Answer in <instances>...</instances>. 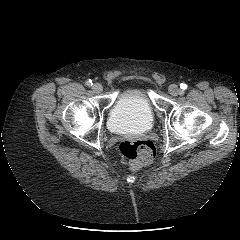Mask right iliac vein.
I'll list each match as a JSON object with an SVG mask.
<instances>
[{"instance_id": "right-iliac-vein-1", "label": "right iliac vein", "mask_w": 240, "mask_h": 240, "mask_svg": "<svg viewBox=\"0 0 240 240\" xmlns=\"http://www.w3.org/2000/svg\"><path fill=\"white\" fill-rule=\"evenodd\" d=\"M92 90H93L94 93L99 94V93H101V92L103 91V87H102L101 84L95 83V84L92 86Z\"/></svg>"}]
</instances>
